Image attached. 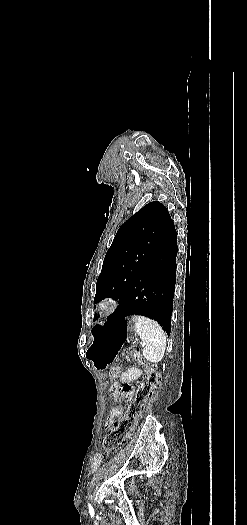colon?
<instances>
[{"mask_svg": "<svg viewBox=\"0 0 247 525\" xmlns=\"http://www.w3.org/2000/svg\"><path fill=\"white\" fill-rule=\"evenodd\" d=\"M135 344L130 346V349L134 350ZM135 359L141 363L140 355L135 350L133 351ZM145 364L144 362H142ZM147 373L145 378L140 382L139 388L135 395L128 398V406L126 413L112 424L109 433L103 441V448L108 450H114L120 447L127 438L132 434L136 421L141 416L144 406L151 394L158 388L160 384V376L155 366L146 365ZM122 374L120 367H114L110 371L109 376L112 379L117 378Z\"/></svg>", "mask_w": 247, "mask_h": 525, "instance_id": "colon-1", "label": "colon"}]
</instances>
